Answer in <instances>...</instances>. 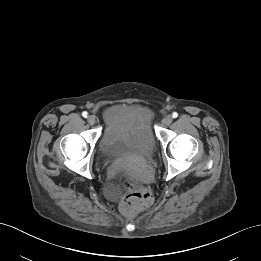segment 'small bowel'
Segmentation results:
<instances>
[{"instance_id": "obj_1", "label": "small bowel", "mask_w": 261, "mask_h": 261, "mask_svg": "<svg viewBox=\"0 0 261 261\" xmlns=\"http://www.w3.org/2000/svg\"><path fill=\"white\" fill-rule=\"evenodd\" d=\"M126 114H128V112L122 105L118 104L108 107L104 113L107 129L117 130L125 126L137 127V122L128 117H124ZM141 117L144 120L150 119V115L147 112H143Z\"/></svg>"}]
</instances>
